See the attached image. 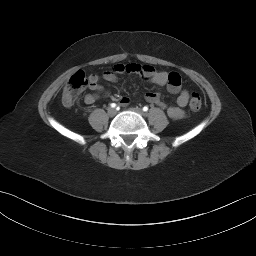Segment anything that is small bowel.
Instances as JSON below:
<instances>
[{"mask_svg":"<svg viewBox=\"0 0 256 256\" xmlns=\"http://www.w3.org/2000/svg\"><path fill=\"white\" fill-rule=\"evenodd\" d=\"M123 73L137 74L152 84L166 86L171 94L178 95L176 105H167L162 102L161 96L157 92L147 93L145 95L146 100L165 109L168 116L172 119H180L184 116L183 108L188 103L189 94L187 90L182 89L181 78L178 73L158 71L150 65L130 63L115 65L112 69L106 70L102 78L107 82L115 83L118 79V75ZM89 87L92 93H88L84 96V102L86 104H93L102 95L106 94L103 86L99 84V76L96 74L90 75ZM117 100L123 107L128 106L131 102L130 98L126 96L118 97Z\"/></svg>","mask_w":256,"mask_h":256,"instance_id":"1","label":"small bowel"}]
</instances>
